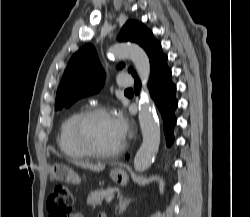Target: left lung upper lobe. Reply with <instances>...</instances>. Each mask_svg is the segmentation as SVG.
<instances>
[{"mask_svg":"<svg viewBox=\"0 0 250 217\" xmlns=\"http://www.w3.org/2000/svg\"><path fill=\"white\" fill-rule=\"evenodd\" d=\"M119 41H130L139 44L147 52L149 59L159 42L154 39L152 32L142 23L129 20L122 27L118 36ZM119 64L118 68H123ZM129 72L136 73L132 68ZM104 83V72L100 66L94 47L87 44L79 49L69 60L67 68L59 84L55 108L71 106L78 99L100 91Z\"/></svg>","mask_w":250,"mask_h":217,"instance_id":"1","label":"left lung upper lobe"}]
</instances>
